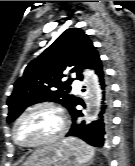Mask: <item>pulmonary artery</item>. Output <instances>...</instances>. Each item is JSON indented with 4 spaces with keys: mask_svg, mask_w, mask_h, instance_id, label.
<instances>
[{
    "mask_svg": "<svg viewBox=\"0 0 135 166\" xmlns=\"http://www.w3.org/2000/svg\"><path fill=\"white\" fill-rule=\"evenodd\" d=\"M73 87H74V90H75L76 92H79V91H80V83H79V81L75 80V81L73 82Z\"/></svg>",
    "mask_w": 135,
    "mask_h": 166,
    "instance_id": "1",
    "label": "pulmonary artery"
}]
</instances>
